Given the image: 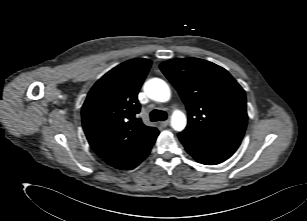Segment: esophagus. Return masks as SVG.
<instances>
[{
	"instance_id": "1",
	"label": "esophagus",
	"mask_w": 307,
	"mask_h": 221,
	"mask_svg": "<svg viewBox=\"0 0 307 221\" xmlns=\"http://www.w3.org/2000/svg\"><path fill=\"white\" fill-rule=\"evenodd\" d=\"M169 123H170L169 120L161 121V122H160V126L163 127V128H165V127H167V126L169 125Z\"/></svg>"
}]
</instances>
